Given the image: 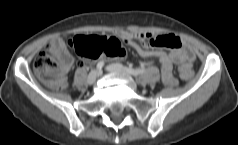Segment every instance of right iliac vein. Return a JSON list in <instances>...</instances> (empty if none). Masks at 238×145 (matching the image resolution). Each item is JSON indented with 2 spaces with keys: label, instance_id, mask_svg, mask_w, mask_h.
Masks as SVG:
<instances>
[{
  "label": "right iliac vein",
  "instance_id": "63e3f726",
  "mask_svg": "<svg viewBox=\"0 0 238 145\" xmlns=\"http://www.w3.org/2000/svg\"><path fill=\"white\" fill-rule=\"evenodd\" d=\"M98 76H99L98 71H95V70L91 71L87 77V83L90 85L93 84L98 78Z\"/></svg>",
  "mask_w": 238,
  "mask_h": 145
}]
</instances>
